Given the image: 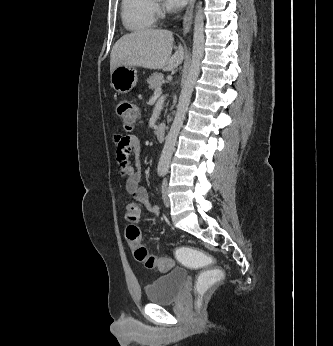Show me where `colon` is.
<instances>
[{
    "mask_svg": "<svg viewBox=\"0 0 333 346\" xmlns=\"http://www.w3.org/2000/svg\"><path fill=\"white\" fill-rule=\"evenodd\" d=\"M117 113L125 130L130 131L134 127L138 116L135 105L130 101H121L117 105ZM126 218L131 223L138 220L139 209L136 204L131 203L128 206ZM126 237L134 258L147 269L167 272L173 267L174 261L171 258L159 257L149 253L141 242L140 230L135 224L127 227ZM181 248L177 249L172 256L176 263L181 266L184 264L185 268H191L192 271H204L194 281L195 291L201 294L208 288H221L222 283L220 280H226V273L223 269H208V264L213 262L212 257L203 253V249H189L188 244H183Z\"/></svg>",
    "mask_w": 333,
    "mask_h": 346,
    "instance_id": "5ec220e1",
    "label": "colon"
}]
</instances>
